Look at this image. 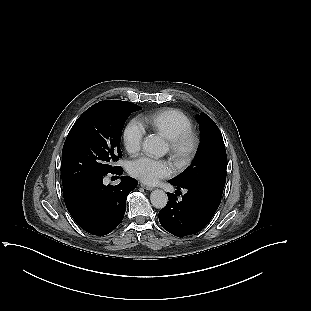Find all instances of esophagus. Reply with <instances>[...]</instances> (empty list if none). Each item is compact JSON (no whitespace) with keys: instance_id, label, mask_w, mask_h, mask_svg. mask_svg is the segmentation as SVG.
<instances>
[{"instance_id":"34e87169","label":"esophagus","mask_w":311,"mask_h":311,"mask_svg":"<svg viewBox=\"0 0 311 311\" xmlns=\"http://www.w3.org/2000/svg\"><path fill=\"white\" fill-rule=\"evenodd\" d=\"M140 186H141L142 188H144L145 190H153V187H152V186L146 185V184H144V183H141Z\"/></svg>"}]
</instances>
